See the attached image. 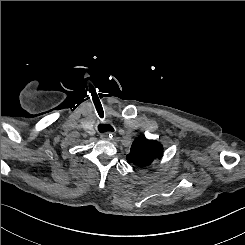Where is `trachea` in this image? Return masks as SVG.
I'll return each instance as SVG.
<instances>
[{
	"mask_svg": "<svg viewBox=\"0 0 245 245\" xmlns=\"http://www.w3.org/2000/svg\"><path fill=\"white\" fill-rule=\"evenodd\" d=\"M98 130H99V132L104 133V132H112V131H114V128L110 124L100 123L98 125Z\"/></svg>",
	"mask_w": 245,
	"mask_h": 245,
	"instance_id": "3493384b",
	"label": "trachea"
}]
</instances>
